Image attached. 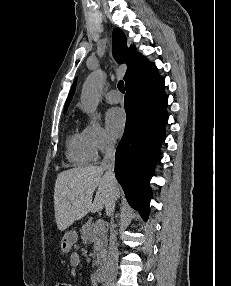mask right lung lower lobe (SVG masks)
<instances>
[{
	"label": "right lung lower lobe",
	"mask_w": 231,
	"mask_h": 286,
	"mask_svg": "<svg viewBox=\"0 0 231 286\" xmlns=\"http://www.w3.org/2000/svg\"><path fill=\"white\" fill-rule=\"evenodd\" d=\"M125 88L127 121L116 150L115 173L128 202L147 218L151 198L148 182L168 121L167 96L156 69L127 82Z\"/></svg>",
	"instance_id": "1"
}]
</instances>
